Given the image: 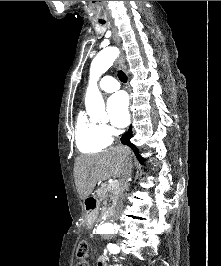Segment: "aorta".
Returning a JSON list of instances; mask_svg holds the SVG:
<instances>
[{
  "mask_svg": "<svg viewBox=\"0 0 221 266\" xmlns=\"http://www.w3.org/2000/svg\"><path fill=\"white\" fill-rule=\"evenodd\" d=\"M119 51L116 47H108L100 51L92 60L90 67L89 85L86 91V111L92 120L105 118V104L102 95L97 87V81L114 63ZM98 230L103 233L114 232V227L109 224H101Z\"/></svg>",
  "mask_w": 221,
  "mask_h": 266,
  "instance_id": "obj_1",
  "label": "aorta"
}]
</instances>
